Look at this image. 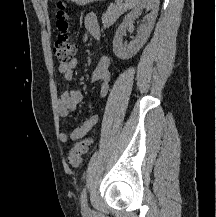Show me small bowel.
I'll use <instances>...</instances> for the list:
<instances>
[{
    "label": "small bowel",
    "mask_w": 216,
    "mask_h": 217,
    "mask_svg": "<svg viewBox=\"0 0 216 217\" xmlns=\"http://www.w3.org/2000/svg\"><path fill=\"white\" fill-rule=\"evenodd\" d=\"M84 27L86 34L84 39L93 37L100 39L101 33L97 18L94 14L89 13L84 18ZM110 57L105 55L99 61L96 69L91 75V83L100 85V95L105 97L109 90V82L111 78L110 73ZM77 67V59H72L67 64H60L58 71L63 75L66 81L71 82L74 77V70ZM83 95L76 89H69L59 97L57 101V113L60 117H66L73 112L77 105L81 103ZM99 117L97 114H92L82 125L73 129L68 133L65 128L61 127L59 130V139L66 143L69 141H77L86 136L90 130L97 124Z\"/></svg>",
    "instance_id": "c3829d8e"
}]
</instances>
